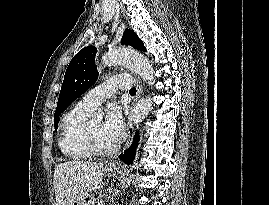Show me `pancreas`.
Here are the masks:
<instances>
[{
    "mask_svg": "<svg viewBox=\"0 0 269 205\" xmlns=\"http://www.w3.org/2000/svg\"><path fill=\"white\" fill-rule=\"evenodd\" d=\"M96 205H103V204H101L100 202H97V204Z\"/></svg>",
    "mask_w": 269,
    "mask_h": 205,
    "instance_id": "cf45deb5",
    "label": "pancreas"
}]
</instances>
